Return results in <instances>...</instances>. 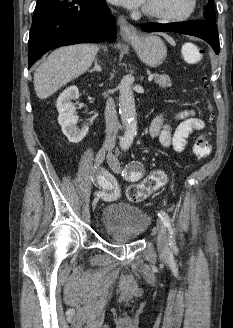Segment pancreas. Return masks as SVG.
Segmentation results:
<instances>
[{
    "label": "pancreas",
    "mask_w": 233,
    "mask_h": 328,
    "mask_svg": "<svg viewBox=\"0 0 233 328\" xmlns=\"http://www.w3.org/2000/svg\"><path fill=\"white\" fill-rule=\"evenodd\" d=\"M154 82L162 88H167L172 86L171 79L165 74H154Z\"/></svg>",
    "instance_id": "1"
}]
</instances>
